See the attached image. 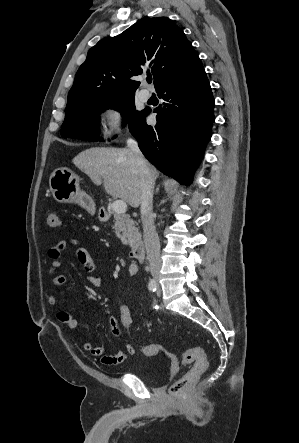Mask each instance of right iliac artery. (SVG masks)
Instances as JSON below:
<instances>
[{
  "label": "right iliac artery",
  "instance_id": "right-iliac-artery-1",
  "mask_svg": "<svg viewBox=\"0 0 299 443\" xmlns=\"http://www.w3.org/2000/svg\"><path fill=\"white\" fill-rule=\"evenodd\" d=\"M148 289H149L151 292H155V291H156V289H157V284H156V281H155L154 279H151V280L149 281V283H148Z\"/></svg>",
  "mask_w": 299,
  "mask_h": 443
}]
</instances>
